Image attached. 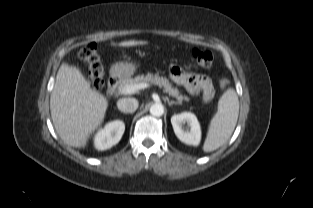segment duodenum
<instances>
[{"label": "duodenum", "mask_w": 313, "mask_h": 208, "mask_svg": "<svg viewBox=\"0 0 313 208\" xmlns=\"http://www.w3.org/2000/svg\"><path fill=\"white\" fill-rule=\"evenodd\" d=\"M118 81H119L118 75L116 73H112L106 88V92L108 95H112L115 93Z\"/></svg>", "instance_id": "duodenum-1"}]
</instances>
